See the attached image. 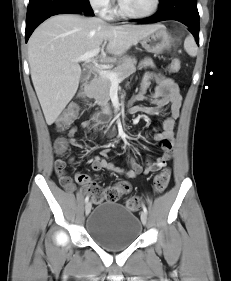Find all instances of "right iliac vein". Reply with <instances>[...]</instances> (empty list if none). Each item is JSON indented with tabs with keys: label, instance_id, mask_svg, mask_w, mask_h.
I'll return each mask as SVG.
<instances>
[{
	"label": "right iliac vein",
	"instance_id": "obj_1",
	"mask_svg": "<svg viewBox=\"0 0 231 281\" xmlns=\"http://www.w3.org/2000/svg\"><path fill=\"white\" fill-rule=\"evenodd\" d=\"M91 208H92V205L90 202H87L86 203V206H85V214L88 215L91 211Z\"/></svg>",
	"mask_w": 231,
	"mask_h": 281
}]
</instances>
